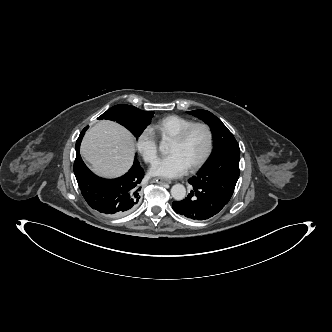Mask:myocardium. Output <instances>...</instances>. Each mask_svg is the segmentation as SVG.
I'll return each mask as SVG.
<instances>
[{
	"mask_svg": "<svg viewBox=\"0 0 332 332\" xmlns=\"http://www.w3.org/2000/svg\"><path fill=\"white\" fill-rule=\"evenodd\" d=\"M196 127H202L205 129V131L207 133V137H208V142H207V147H206L204 153L195 162H193L189 166L190 170H195V169H198L199 167H201L207 161V159L209 158V156L212 153L213 146H214V133H213L211 126L209 124H207L206 122H201V121L192 122L191 124H189L188 126L183 128L176 136H174L172 138L173 142L180 144L185 141V139L187 138V136L189 135L191 130H193Z\"/></svg>",
	"mask_w": 332,
	"mask_h": 332,
	"instance_id": "f54148a6",
	"label": "myocardium"
}]
</instances>
